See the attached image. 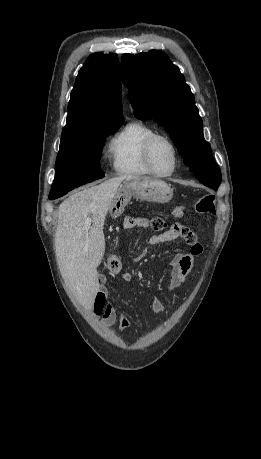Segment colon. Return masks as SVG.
<instances>
[{"instance_id":"colon-1","label":"colon","mask_w":261,"mask_h":459,"mask_svg":"<svg viewBox=\"0 0 261 459\" xmlns=\"http://www.w3.org/2000/svg\"><path fill=\"white\" fill-rule=\"evenodd\" d=\"M193 211L198 215L213 214L215 211V198L211 194L201 196L193 205ZM176 217L182 218L186 214V209L182 206H176L173 209ZM149 226L155 231H162L166 228V223L160 218L149 220ZM106 267L111 273H118L122 269V260L119 253L109 254L106 260ZM96 314L101 312V304L96 302L94 305Z\"/></svg>"}]
</instances>
